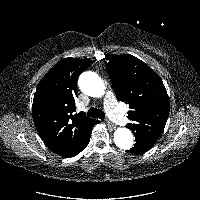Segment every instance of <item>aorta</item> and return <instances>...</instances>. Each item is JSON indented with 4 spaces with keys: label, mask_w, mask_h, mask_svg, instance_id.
<instances>
[{
    "label": "aorta",
    "mask_w": 200,
    "mask_h": 200,
    "mask_svg": "<svg viewBox=\"0 0 200 200\" xmlns=\"http://www.w3.org/2000/svg\"><path fill=\"white\" fill-rule=\"evenodd\" d=\"M79 87L83 93L91 97H101L105 93V84L95 72L86 71L79 77ZM114 142L122 150L133 146L132 132L127 128H118L114 132Z\"/></svg>",
    "instance_id": "1"
}]
</instances>
